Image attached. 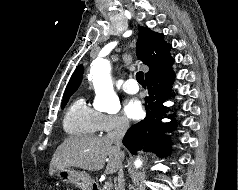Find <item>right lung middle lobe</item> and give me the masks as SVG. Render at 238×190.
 <instances>
[{
	"label": "right lung middle lobe",
	"instance_id": "dd1d6c3e",
	"mask_svg": "<svg viewBox=\"0 0 238 190\" xmlns=\"http://www.w3.org/2000/svg\"><path fill=\"white\" fill-rule=\"evenodd\" d=\"M73 93H69V94H65L64 97H63V102H62V109L64 108V106L67 104L70 96L72 95Z\"/></svg>",
	"mask_w": 238,
	"mask_h": 190
}]
</instances>
